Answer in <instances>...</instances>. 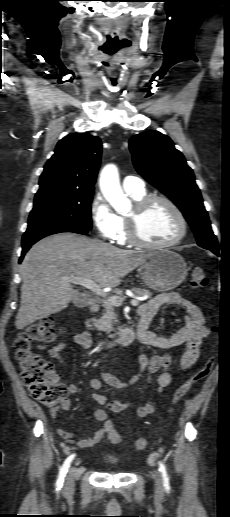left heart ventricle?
Masks as SVG:
<instances>
[{
	"mask_svg": "<svg viewBox=\"0 0 230 517\" xmlns=\"http://www.w3.org/2000/svg\"><path fill=\"white\" fill-rule=\"evenodd\" d=\"M133 212L130 211L128 215ZM142 237L152 243L172 240L180 231V223L174 212L165 203H152L139 221Z\"/></svg>",
	"mask_w": 230,
	"mask_h": 517,
	"instance_id": "b2bd125f",
	"label": "left heart ventricle"
}]
</instances>
